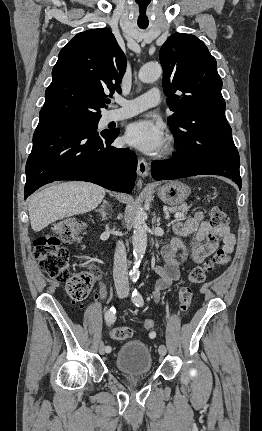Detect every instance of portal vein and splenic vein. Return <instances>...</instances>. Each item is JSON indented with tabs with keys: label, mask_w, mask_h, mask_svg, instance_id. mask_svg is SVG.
I'll list each match as a JSON object with an SVG mask.
<instances>
[{
	"label": "portal vein and splenic vein",
	"mask_w": 262,
	"mask_h": 431,
	"mask_svg": "<svg viewBox=\"0 0 262 431\" xmlns=\"http://www.w3.org/2000/svg\"><path fill=\"white\" fill-rule=\"evenodd\" d=\"M183 216H184V214H183V213L178 212V213H176V214L174 215V218H181V217H183Z\"/></svg>",
	"instance_id": "1"
}]
</instances>
